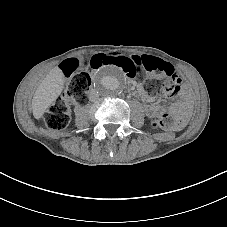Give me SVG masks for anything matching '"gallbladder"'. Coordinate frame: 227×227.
Returning <instances> with one entry per match:
<instances>
[{"label": "gallbladder", "mask_w": 227, "mask_h": 227, "mask_svg": "<svg viewBox=\"0 0 227 227\" xmlns=\"http://www.w3.org/2000/svg\"><path fill=\"white\" fill-rule=\"evenodd\" d=\"M77 58L79 59L80 63L82 64L83 61H84V56L80 55V56H77ZM82 69H83V66L80 65L79 68H78V71H81Z\"/></svg>", "instance_id": "gallbladder-1"}]
</instances>
